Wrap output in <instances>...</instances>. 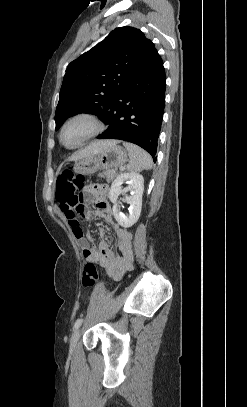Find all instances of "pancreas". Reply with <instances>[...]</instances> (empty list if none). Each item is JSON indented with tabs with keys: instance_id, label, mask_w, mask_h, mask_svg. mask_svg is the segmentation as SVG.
<instances>
[{
	"instance_id": "1",
	"label": "pancreas",
	"mask_w": 247,
	"mask_h": 407,
	"mask_svg": "<svg viewBox=\"0 0 247 407\" xmlns=\"http://www.w3.org/2000/svg\"><path fill=\"white\" fill-rule=\"evenodd\" d=\"M116 175L115 170H106L98 174L99 177L106 178L108 183H110L116 177Z\"/></svg>"
}]
</instances>
